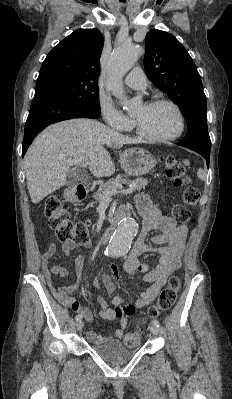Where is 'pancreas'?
Here are the masks:
<instances>
[{"mask_svg": "<svg viewBox=\"0 0 232 399\" xmlns=\"http://www.w3.org/2000/svg\"><path fill=\"white\" fill-rule=\"evenodd\" d=\"M122 184H130L133 190H142L148 184V180L145 178H137V180H133V182H127V180H120V178H116V180H108L106 184H100L97 192L94 194V198L97 201H102L106 196H108L111 190H118L121 188Z\"/></svg>", "mask_w": 232, "mask_h": 399, "instance_id": "1", "label": "pancreas"}]
</instances>
